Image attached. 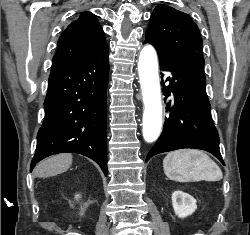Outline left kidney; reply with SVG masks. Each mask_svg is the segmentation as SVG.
Returning a JSON list of instances; mask_svg holds the SVG:
<instances>
[{"mask_svg": "<svg viewBox=\"0 0 250 235\" xmlns=\"http://www.w3.org/2000/svg\"><path fill=\"white\" fill-rule=\"evenodd\" d=\"M197 201L191 195L183 191H174L172 193V205L175 214L179 218H185L195 212Z\"/></svg>", "mask_w": 250, "mask_h": 235, "instance_id": "obj_1", "label": "left kidney"}]
</instances>
